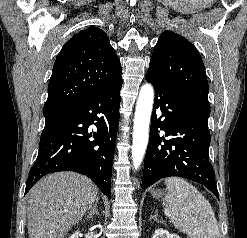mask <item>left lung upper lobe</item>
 <instances>
[{"label": "left lung upper lobe", "instance_id": "left-lung-upper-lobe-1", "mask_svg": "<svg viewBox=\"0 0 247 238\" xmlns=\"http://www.w3.org/2000/svg\"><path fill=\"white\" fill-rule=\"evenodd\" d=\"M173 93L210 114L208 81L197 49L184 37L164 31L154 47L148 69Z\"/></svg>", "mask_w": 247, "mask_h": 238}]
</instances>
